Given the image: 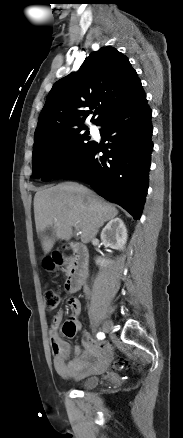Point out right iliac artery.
Instances as JSON below:
<instances>
[{
  "label": "right iliac artery",
  "mask_w": 183,
  "mask_h": 438,
  "mask_svg": "<svg viewBox=\"0 0 183 438\" xmlns=\"http://www.w3.org/2000/svg\"><path fill=\"white\" fill-rule=\"evenodd\" d=\"M97 338L100 339V340H102V339L105 338V334H104L103 332H99V333L97 334Z\"/></svg>",
  "instance_id": "right-iliac-artery-1"
}]
</instances>
